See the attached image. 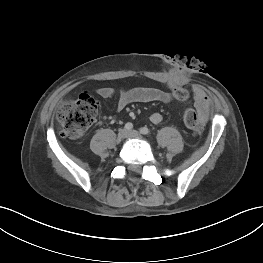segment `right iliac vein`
I'll return each instance as SVG.
<instances>
[{
	"label": "right iliac vein",
	"mask_w": 263,
	"mask_h": 263,
	"mask_svg": "<svg viewBox=\"0 0 263 263\" xmlns=\"http://www.w3.org/2000/svg\"><path fill=\"white\" fill-rule=\"evenodd\" d=\"M127 135H128V132L126 129H120L117 135V139L119 141H122L127 137Z\"/></svg>",
	"instance_id": "obj_1"
}]
</instances>
